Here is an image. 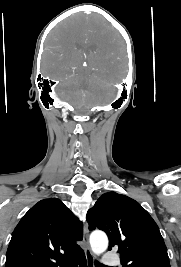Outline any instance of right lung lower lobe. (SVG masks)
<instances>
[{
  "instance_id": "obj_1",
  "label": "right lung lower lobe",
  "mask_w": 181,
  "mask_h": 267,
  "mask_svg": "<svg viewBox=\"0 0 181 267\" xmlns=\"http://www.w3.org/2000/svg\"><path fill=\"white\" fill-rule=\"evenodd\" d=\"M71 262H73L75 265V267L78 265L79 267H87V262H86V258L84 253L81 254L80 256L76 257L75 259H73ZM71 265L68 264L66 265V267H70Z\"/></svg>"
}]
</instances>
